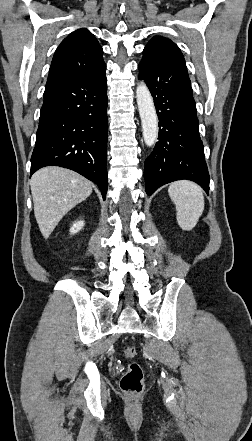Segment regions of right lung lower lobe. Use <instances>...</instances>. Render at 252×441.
Instances as JSON below:
<instances>
[{
    "label": "right lung lower lobe",
    "mask_w": 252,
    "mask_h": 441,
    "mask_svg": "<svg viewBox=\"0 0 252 441\" xmlns=\"http://www.w3.org/2000/svg\"><path fill=\"white\" fill-rule=\"evenodd\" d=\"M105 69L46 87L30 173L51 165L74 170L95 182L103 199L108 187Z\"/></svg>",
    "instance_id": "right-lung-lower-lobe-1"
}]
</instances>
